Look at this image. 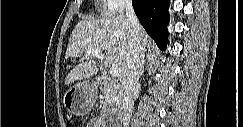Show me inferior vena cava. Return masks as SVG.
I'll return each instance as SVG.
<instances>
[{"label": "inferior vena cava", "mask_w": 243, "mask_h": 127, "mask_svg": "<svg viewBox=\"0 0 243 127\" xmlns=\"http://www.w3.org/2000/svg\"><path fill=\"white\" fill-rule=\"evenodd\" d=\"M126 17L132 25V37L127 55L126 68L122 78L123 100H122V121L124 127L129 126L133 112L132 93L135 91L144 64L145 48L141 42V26L135 14L131 0L125 1Z\"/></svg>", "instance_id": "obj_1"}]
</instances>
